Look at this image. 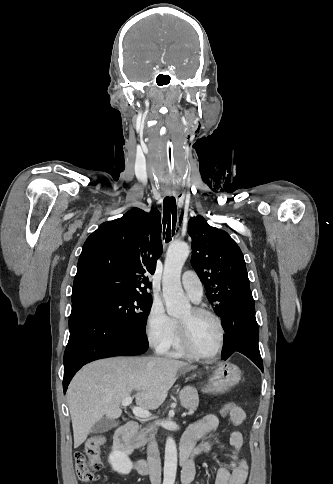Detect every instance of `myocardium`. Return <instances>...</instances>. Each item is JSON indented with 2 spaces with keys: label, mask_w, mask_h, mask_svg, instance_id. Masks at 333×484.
Returning <instances> with one entry per match:
<instances>
[{
  "label": "myocardium",
  "mask_w": 333,
  "mask_h": 484,
  "mask_svg": "<svg viewBox=\"0 0 333 484\" xmlns=\"http://www.w3.org/2000/svg\"><path fill=\"white\" fill-rule=\"evenodd\" d=\"M191 309H192V312H193L194 315H196V316L206 315V316L211 317L216 322L218 329H219L218 344H217V347L215 348V350L211 354L205 355V354L199 353L194 348V346L192 344L190 332H189V328H188L187 324L178 320L177 326H178V334H179V339H180L181 345H182L183 349L186 351V353L193 358L200 359V360H206V361L213 360L221 353L223 346H224L225 327H224V324L222 322V319L214 311H212L208 308H205V307L195 306Z\"/></svg>",
  "instance_id": "myocardium-1"
}]
</instances>
